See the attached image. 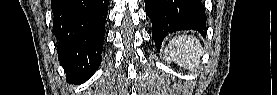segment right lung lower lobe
Returning a JSON list of instances; mask_svg holds the SVG:
<instances>
[{"label": "right lung lower lobe", "mask_w": 277, "mask_h": 95, "mask_svg": "<svg viewBox=\"0 0 277 95\" xmlns=\"http://www.w3.org/2000/svg\"><path fill=\"white\" fill-rule=\"evenodd\" d=\"M60 64L72 82L89 79L101 63L108 0H52Z\"/></svg>", "instance_id": "right-lung-lower-lobe-1"}]
</instances>
